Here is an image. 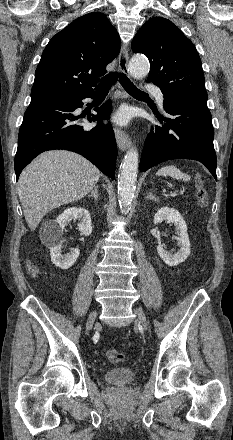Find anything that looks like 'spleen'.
Returning <instances> with one entry per match:
<instances>
[{"label": "spleen", "instance_id": "spleen-1", "mask_svg": "<svg viewBox=\"0 0 233 440\" xmlns=\"http://www.w3.org/2000/svg\"><path fill=\"white\" fill-rule=\"evenodd\" d=\"M157 176H165V177H172L175 179H180L183 181H189L191 179L190 175L181 172L176 166L174 165H167L159 169L156 173Z\"/></svg>", "mask_w": 233, "mask_h": 440}]
</instances>
